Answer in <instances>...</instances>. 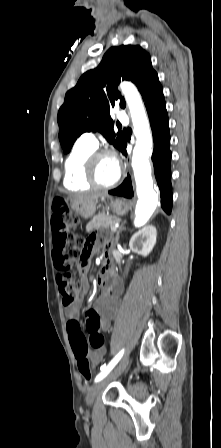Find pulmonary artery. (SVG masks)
<instances>
[{"mask_svg": "<svg viewBox=\"0 0 221 448\" xmlns=\"http://www.w3.org/2000/svg\"><path fill=\"white\" fill-rule=\"evenodd\" d=\"M117 119L122 123L128 122V117L126 113L122 110L116 111ZM79 142L86 144L90 147L96 148L98 146V140L96 134L93 132H85L79 137Z\"/></svg>", "mask_w": 221, "mask_h": 448, "instance_id": "pulmonary-artery-1", "label": "pulmonary artery"}]
</instances>
